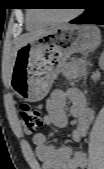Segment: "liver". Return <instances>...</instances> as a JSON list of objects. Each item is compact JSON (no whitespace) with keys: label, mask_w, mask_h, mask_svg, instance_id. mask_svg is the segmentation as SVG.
I'll return each instance as SVG.
<instances>
[{"label":"liver","mask_w":104,"mask_h":169,"mask_svg":"<svg viewBox=\"0 0 104 169\" xmlns=\"http://www.w3.org/2000/svg\"><path fill=\"white\" fill-rule=\"evenodd\" d=\"M50 30L47 31H39V32H35V33H30V34H25L22 35L20 38L17 39L16 41V45H15V55L18 51V49L20 47H22L23 45L36 40L37 38H39L40 36L44 35L45 33L49 32Z\"/></svg>","instance_id":"obj_1"}]
</instances>
